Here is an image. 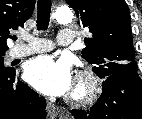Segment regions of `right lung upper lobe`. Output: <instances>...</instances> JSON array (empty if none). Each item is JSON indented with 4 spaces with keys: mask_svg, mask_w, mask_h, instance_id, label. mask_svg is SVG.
Segmentation results:
<instances>
[{
    "mask_svg": "<svg viewBox=\"0 0 142 119\" xmlns=\"http://www.w3.org/2000/svg\"><path fill=\"white\" fill-rule=\"evenodd\" d=\"M35 0H0V53L8 50L10 30L23 27L33 13Z\"/></svg>",
    "mask_w": 142,
    "mask_h": 119,
    "instance_id": "cb5924a9",
    "label": "right lung upper lobe"
}]
</instances>
